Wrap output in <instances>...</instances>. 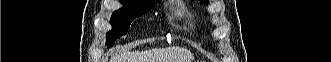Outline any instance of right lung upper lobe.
I'll return each mask as SVG.
<instances>
[{
    "label": "right lung upper lobe",
    "mask_w": 331,
    "mask_h": 62,
    "mask_svg": "<svg viewBox=\"0 0 331 62\" xmlns=\"http://www.w3.org/2000/svg\"><path fill=\"white\" fill-rule=\"evenodd\" d=\"M126 1H138V2H145V3H156L160 0H126Z\"/></svg>",
    "instance_id": "1"
}]
</instances>
